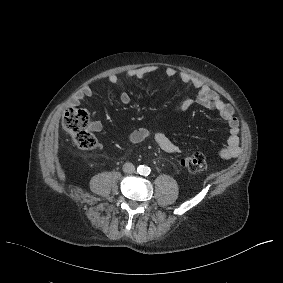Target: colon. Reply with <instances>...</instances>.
Wrapping results in <instances>:
<instances>
[{"label": "colon", "instance_id": "obj_1", "mask_svg": "<svg viewBox=\"0 0 283 283\" xmlns=\"http://www.w3.org/2000/svg\"><path fill=\"white\" fill-rule=\"evenodd\" d=\"M64 129L69 133L77 147L83 150H91L96 145V140L87 127L89 116L82 109L68 106L62 119ZM182 167L191 173L202 172L207 169L208 163L205 156L195 152L184 156L181 159Z\"/></svg>", "mask_w": 283, "mask_h": 283}]
</instances>
